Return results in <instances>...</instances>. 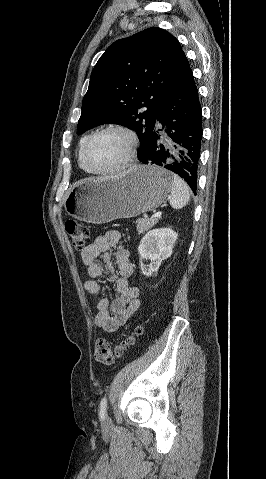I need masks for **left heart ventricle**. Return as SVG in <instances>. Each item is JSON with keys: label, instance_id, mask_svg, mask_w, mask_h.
Listing matches in <instances>:
<instances>
[{"label": "left heart ventricle", "instance_id": "b2bd125f", "mask_svg": "<svg viewBox=\"0 0 266 479\" xmlns=\"http://www.w3.org/2000/svg\"><path fill=\"white\" fill-rule=\"evenodd\" d=\"M128 139L117 132H106L96 137L88 150L87 158L90 166L104 171L115 167L124 158Z\"/></svg>", "mask_w": 266, "mask_h": 479}]
</instances>
